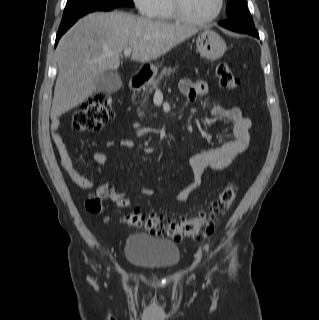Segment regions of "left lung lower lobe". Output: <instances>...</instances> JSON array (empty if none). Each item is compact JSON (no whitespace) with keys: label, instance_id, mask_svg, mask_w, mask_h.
Returning a JSON list of instances; mask_svg holds the SVG:
<instances>
[{"label":"left lung lower lobe","instance_id":"0a47b994","mask_svg":"<svg viewBox=\"0 0 319 320\" xmlns=\"http://www.w3.org/2000/svg\"><path fill=\"white\" fill-rule=\"evenodd\" d=\"M219 24L229 30L239 32V33L250 34L256 38H259V34L255 29L254 24H247L243 22L230 21V20L220 22Z\"/></svg>","mask_w":319,"mask_h":320}]
</instances>
